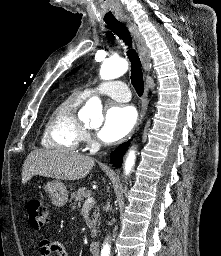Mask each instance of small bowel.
I'll return each instance as SVG.
<instances>
[{
  "mask_svg": "<svg viewBox=\"0 0 221 256\" xmlns=\"http://www.w3.org/2000/svg\"><path fill=\"white\" fill-rule=\"evenodd\" d=\"M41 256H69L65 246L55 239H42L39 243Z\"/></svg>",
  "mask_w": 221,
  "mask_h": 256,
  "instance_id": "small-bowel-1",
  "label": "small bowel"
}]
</instances>
